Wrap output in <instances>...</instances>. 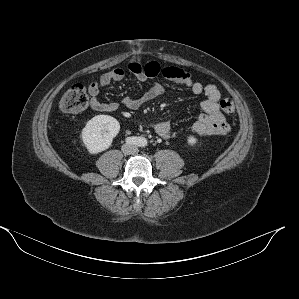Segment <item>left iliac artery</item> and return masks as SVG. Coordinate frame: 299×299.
I'll use <instances>...</instances> for the list:
<instances>
[{"instance_id":"obj_1","label":"left iliac artery","mask_w":299,"mask_h":299,"mask_svg":"<svg viewBox=\"0 0 299 299\" xmlns=\"http://www.w3.org/2000/svg\"><path fill=\"white\" fill-rule=\"evenodd\" d=\"M144 142H145V141H144L143 139H139L138 144H139V145H144Z\"/></svg>"}]
</instances>
